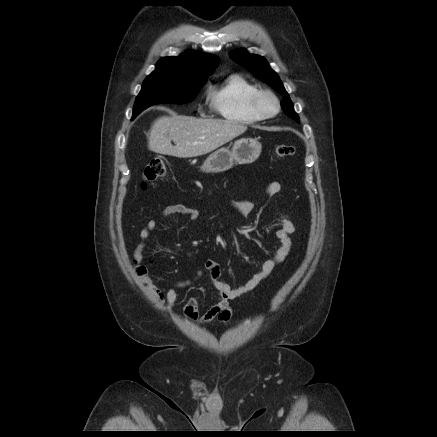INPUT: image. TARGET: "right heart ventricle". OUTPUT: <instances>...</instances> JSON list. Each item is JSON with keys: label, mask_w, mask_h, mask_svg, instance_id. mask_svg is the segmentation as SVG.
I'll list each match as a JSON object with an SVG mask.
<instances>
[{"label": "right heart ventricle", "mask_w": 437, "mask_h": 437, "mask_svg": "<svg viewBox=\"0 0 437 437\" xmlns=\"http://www.w3.org/2000/svg\"><path fill=\"white\" fill-rule=\"evenodd\" d=\"M258 87L239 74H232L209 88L211 108L224 119L238 124H254L262 119L251 108Z\"/></svg>", "instance_id": "1"}]
</instances>
